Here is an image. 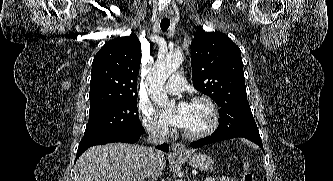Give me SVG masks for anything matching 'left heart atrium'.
I'll list each match as a JSON object with an SVG mask.
<instances>
[{
	"label": "left heart atrium",
	"mask_w": 333,
	"mask_h": 181,
	"mask_svg": "<svg viewBox=\"0 0 333 181\" xmlns=\"http://www.w3.org/2000/svg\"><path fill=\"white\" fill-rule=\"evenodd\" d=\"M189 103L181 101L172 111H164L161 118L164 122L179 128H185L189 118Z\"/></svg>",
	"instance_id": "left-heart-atrium-1"
}]
</instances>
